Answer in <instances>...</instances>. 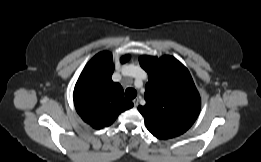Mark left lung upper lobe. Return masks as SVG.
<instances>
[{
  "instance_id": "obj_1",
  "label": "left lung upper lobe",
  "mask_w": 261,
  "mask_h": 162,
  "mask_svg": "<svg viewBox=\"0 0 261 162\" xmlns=\"http://www.w3.org/2000/svg\"><path fill=\"white\" fill-rule=\"evenodd\" d=\"M148 73L144 106L138 110L147 129L159 139L177 137L197 119L201 100L188 69L172 56H141Z\"/></svg>"
}]
</instances>
